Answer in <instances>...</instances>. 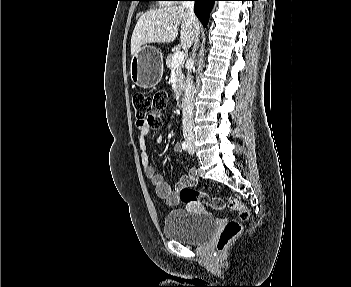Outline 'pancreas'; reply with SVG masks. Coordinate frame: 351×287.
Segmentation results:
<instances>
[{"label": "pancreas", "mask_w": 351, "mask_h": 287, "mask_svg": "<svg viewBox=\"0 0 351 287\" xmlns=\"http://www.w3.org/2000/svg\"><path fill=\"white\" fill-rule=\"evenodd\" d=\"M173 54H169L166 58V65L169 69L174 70L176 73L177 77V88H178V93L182 90L183 85H184V75L182 73V65H179L178 67H172V58Z\"/></svg>", "instance_id": "cf45deb5"}]
</instances>
